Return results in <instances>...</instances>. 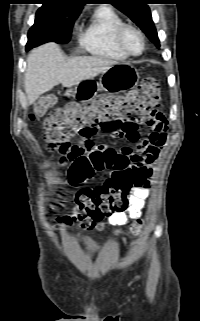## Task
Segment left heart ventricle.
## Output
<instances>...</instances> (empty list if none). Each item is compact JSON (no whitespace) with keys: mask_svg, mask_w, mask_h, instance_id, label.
I'll list each match as a JSON object with an SVG mask.
<instances>
[{"mask_svg":"<svg viewBox=\"0 0 200 321\" xmlns=\"http://www.w3.org/2000/svg\"><path fill=\"white\" fill-rule=\"evenodd\" d=\"M123 41H124V45L130 52H133V53L140 52L142 48V43L138 34L133 30H127L125 32Z\"/></svg>","mask_w":200,"mask_h":321,"instance_id":"b2bd125f","label":"left heart ventricle"}]
</instances>
